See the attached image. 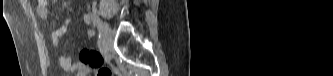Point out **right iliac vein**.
Masks as SVG:
<instances>
[{
	"instance_id": "63e3f726",
	"label": "right iliac vein",
	"mask_w": 333,
	"mask_h": 76,
	"mask_svg": "<svg viewBox=\"0 0 333 76\" xmlns=\"http://www.w3.org/2000/svg\"><path fill=\"white\" fill-rule=\"evenodd\" d=\"M102 38L104 40V46L109 49L112 44L113 33L107 23H101Z\"/></svg>"
}]
</instances>
